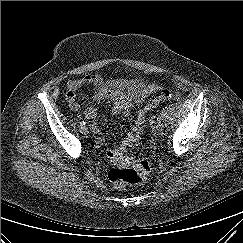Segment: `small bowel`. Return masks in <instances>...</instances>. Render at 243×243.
<instances>
[{
	"instance_id": "c3829d8e",
	"label": "small bowel",
	"mask_w": 243,
	"mask_h": 243,
	"mask_svg": "<svg viewBox=\"0 0 243 243\" xmlns=\"http://www.w3.org/2000/svg\"><path fill=\"white\" fill-rule=\"evenodd\" d=\"M85 87H94L96 89L94 99L110 102L112 104V116L121 118L128 117L134 105L142 103L147 96L158 90L156 84L139 79L104 78L99 74H88L67 83L66 100L73 111L80 110L81 104L77 100V92ZM84 116L91 121L95 144L101 146L104 140L100 136L96 109L87 107L84 110Z\"/></svg>"
}]
</instances>
